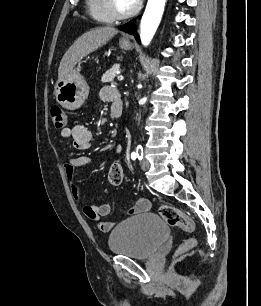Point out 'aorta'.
Listing matches in <instances>:
<instances>
[{"mask_svg": "<svg viewBox=\"0 0 261 306\" xmlns=\"http://www.w3.org/2000/svg\"><path fill=\"white\" fill-rule=\"evenodd\" d=\"M166 0H148L140 24V38L143 45L151 42L163 15Z\"/></svg>", "mask_w": 261, "mask_h": 306, "instance_id": "762f6f07", "label": "aorta"}]
</instances>
